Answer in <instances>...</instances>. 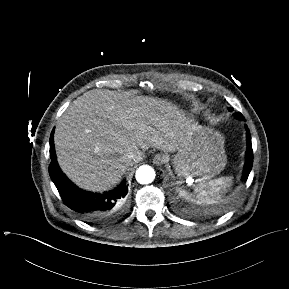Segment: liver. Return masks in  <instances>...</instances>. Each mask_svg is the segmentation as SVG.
<instances>
[{
  "label": "liver",
  "mask_w": 289,
  "mask_h": 289,
  "mask_svg": "<svg viewBox=\"0 0 289 289\" xmlns=\"http://www.w3.org/2000/svg\"><path fill=\"white\" fill-rule=\"evenodd\" d=\"M191 120L170 102L117 96L93 89L59 118L54 144L62 171L80 188L102 192L116 185L130 164L125 156L150 147L174 152Z\"/></svg>",
  "instance_id": "liver-1"
}]
</instances>
